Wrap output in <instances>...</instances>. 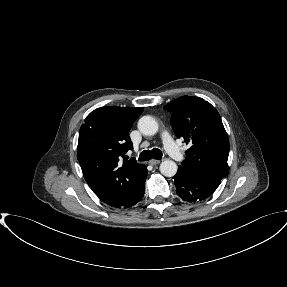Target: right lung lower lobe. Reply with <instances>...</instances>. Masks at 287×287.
I'll return each mask as SVG.
<instances>
[{
  "label": "right lung lower lobe",
  "instance_id": "obj_1",
  "mask_svg": "<svg viewBox=\"0 0 287 287\" xmlns=\"http://www.w3.org/2000/svg\"><path fill=\"white\" fill-rule=\"evenodd\" d=\"M147 168L146 166H144L143 169V176L141 178V180L139 181L138 185L136 186V188L134 189V191L131 193L130 197L125 201L122 202L121 204L114 206L116 208H129L133 205H135L137 202H139L143 195H144V190H145V179L147 176Z\"/></svg>",
  "mask_w": 287,
  "mask_h": 287
}]
</instances>
